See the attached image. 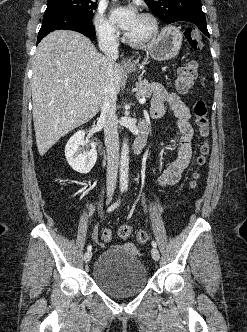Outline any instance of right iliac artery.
<instances>
[{"instance_id": "82829eb1", "label": "right iliac artery", "mask_w": 247, "mask_h": 332, "mask_svg": "<svg viewBox=\"0 0 247 332\" xmlns=\"http://www.w3.org/2000/svg\"><path fill=\"white\" fill-rule=\"evenodd\" d=\"M119 203H120V199L117 200V202H115L114 204H112V205L107 209V212H111V211H113L115 208H117V207L119 206ZM87 250H88V251H91V250H92V246H91V245H88Z\"/></svg>"}]
</instances>
